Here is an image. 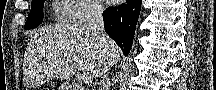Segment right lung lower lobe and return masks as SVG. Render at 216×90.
<instances>
[{
  "label": "right lung lower lobe",
  "mask_w": 216,
  "mask_h": 90,
  "mask_svg": "<svg viewBox=\"0 0 216 90\" xmlns=\"http://www.w3.org/2000/svg\"><path fill=\"white\" fill-rule=\"evenodd\" d=\"M140 9V0H127L125 4L117 8L109 7L103 13L106 33L118 44L125 56L133 43Z\"/></svg>",
  "instance_id": "right-lung-lower-lobe-1"
}]
</instances>
